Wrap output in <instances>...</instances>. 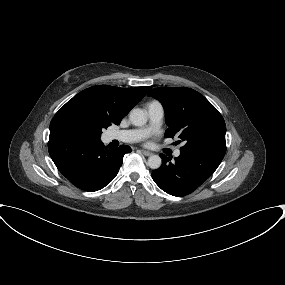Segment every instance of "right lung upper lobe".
Returning <instances> with one entry per match:
<instances>
[{
    "label": "right lung upper lobe",
    "instance_id": "obj_1",
    "mask_svg": "<svg viewBox=\"0 0 285 285\" xmlns=\"http://www.w3.org/2000/svg\"><path fill=\"white\" fill-rule=\"evenodd\" d=\"M151 87L120 88L98 85L87 88L69 100L54 116L50 133L64 131L71 119L120 124L128 112L147 94Z\"/></svg>",
    "mask_w": 285,
    "mask_h": 285
}]
</instances>
